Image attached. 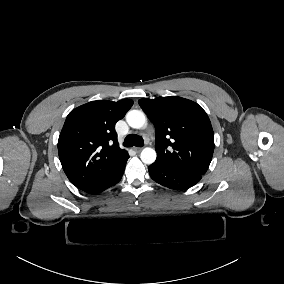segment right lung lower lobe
<instances>
[{
  "mask_svg": "<svg viewBox=\"0 0 284 284\" xmlns=\"http://www.w3.org/2000/svg\"><path fill=\"white\" fill-rule=\"evenodd\" d=\"M128 158H129V155L105 179H103L97 185L89 188L85 192H87L89 194L101 193V192L105 191L106 189L117 184L122 178V175L124 173V169H125L126 162H127Z\"/></svg>",
  "mask_w": 284,
  "mask_h": 284,
  "instance_id": "98d812e1",
  "label": "right lung lower lobe"
}]
</instances>
